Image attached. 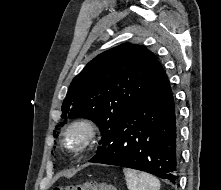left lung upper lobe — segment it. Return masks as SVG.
<instances>
[{
	"label": "left lung upper lobe",
	"instance_id": "left-lung-upper-lobe-1",
	"mask_svg": "<svg viewBox=\"0 0 221 190\" xmlns=\"http://www.w3.org/2000/svg\"><path fill=\"white\" fill-rule=\"evenodd\" d=\"M163 73L155 55L144 46L125 43L109 49L73 79L61 117L94 121L102 134L99 152L108 133L140 103Z\"/></svg>",
	"mask_w": 221,
	"mask_h": 190
}]
</instances>
